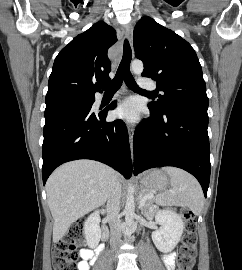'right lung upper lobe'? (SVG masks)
I'll list each match as a JSON object with an SVG mask.
<instances>
[{"label": "right lung upper lobe", "mask_w": 242, "mask_h": 270, "mask_svg": "<svg viewBox=\"0 0 242 270\" xmlns=\"http://www.w3.org/2000/svg\"><path fill=\"white\" fill-rule=\"evenodd\" d=\"M116 41L115 30L100 21L64 47L49 77L46 108L94 99L100 84L110 80L107 51Z\"/></svg>", "instance_id": "cb5924a9"}]
</instances>
